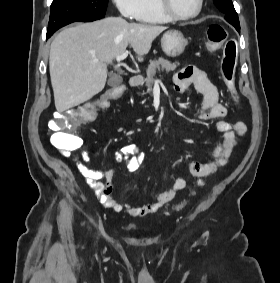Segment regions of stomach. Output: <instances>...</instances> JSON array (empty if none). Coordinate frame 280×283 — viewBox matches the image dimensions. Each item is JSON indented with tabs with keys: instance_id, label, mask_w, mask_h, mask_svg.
<instances>
[{
	"instance_id": "0dacf381",
	"label": "stomach",
	"mask_w": 280,
	"mask_h": 283,
	"mask_svg": "<svg viewBox=\"0 0 280 283\" xmlns=\"http://www.w3.org/2000/svg\"><path fill=\"white\" fill-rule=\"evenodd\" d=\"M188 41L179 30H169L161 38V47L163 52L169 57L180 56Z\"/></svg>"
}]
</instances>
